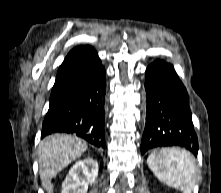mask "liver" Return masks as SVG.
Listing matches in <instances>:
<instances>
[{
  "mask_svg": "<svg viewBox=\"0 0 221 193\" xmlns=\"http://www.w3.org/2000/svg\"><path fill=\"white\" fill-rule=\"evenodd\" d=\"M87 143L67 134H54L43 139L38 148L39 173L43 188L53 193L51 180L86 150Z\"/></svg>",
  "mask_w": 221,
  "mask_h": 193,
  "instance_id": "obj_1",
  "label": "liver"
}]
</instances>
